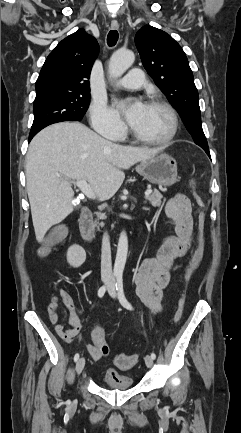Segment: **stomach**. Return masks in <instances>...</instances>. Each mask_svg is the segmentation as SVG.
I'll return each mask as SVG.
<instances>
[{"label": "stomach", "instance_id": "obj_1", "mask_svg": "<svg viewBox=\"0 0 241 433\" xmlns=\"http://www.w3.org/2000/svg\"><path fill=\"white\" fill-rule=\"evenodd\" d=\"M136 171L149 182L159 186H171L178 180L177 162L166 153H159L141 161L136 166Z\"/></svg>", "mask_w": 241, "mask_h": 433}]
</instances>
